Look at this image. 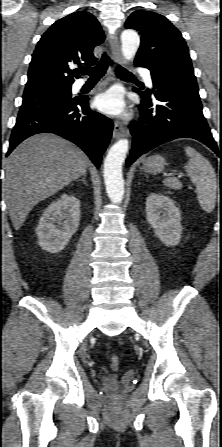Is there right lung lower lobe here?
<instances>
[{
	"instance_id": "obj_1",
	"label": "right lung lower lobe",
	"mask_w": 222,
	"mask_h": 447,
	"mask_svg": "<svg viewBox=\"0 0 222 447\" xmlns=\"http://www.w3.org/2000/svg\"><path fill=\"white\" fill-rule=\"evenodd\" d=\"M112 130V121L92 111L87 97H76L43 110L18 115L7 156L20 142L34 134L54 133L78 145L99 167Z\"/></svg>"
}]
</instances>
